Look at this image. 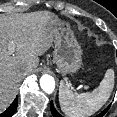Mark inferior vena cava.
Masks as SVG:
<instances>
[{
    "instance_id": "1",
    "label": "inferior vena cava",
    "mask_w": 117,
    "mask_h": 117,
    "mask_svg": "<svg viewBox=\"0 0 117 117\" xmlns=\"http://www.w3.org/2000/svg\"><path fill=\"white\" fill-rule=\"evenodd\" d=\"M25 71H27L26 68L20 69V72H21V73H24Z\"/></svg>"
}]
</instances>
